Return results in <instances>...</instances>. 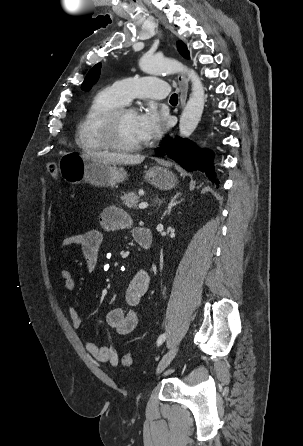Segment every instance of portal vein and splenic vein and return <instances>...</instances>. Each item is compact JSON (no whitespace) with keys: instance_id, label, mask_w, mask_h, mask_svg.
<instances>
[{"instance_id":"obj_1","label":"portal vein and splenic vein","mask_w":303,"mask_h":446,"mask_svg":"<svg viewBox=\"0 0 303 446\" xmlns=\"http://www.w3.org/2000/svg\"><path fill=\"white\" fill-rule=\"evenodd\" d=\"M148 207V203H146V202H141L140 204H139V209H145V208H147Z\"/></svg>"}]
</instances>
